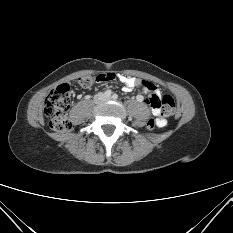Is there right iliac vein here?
Segmentation results:
<instances>
[{"mask_svg": "<svg viewBox=\"0 0 233 233\" xmlns=\"http://www.w3.org/2000/svg\"><path fill=\"white\" fill-rule=\"evenodd\" d=\"M102 99H103V95H102V94H98V95L95 97V102H100Z\"/></svg>", "mask_w": 233, "mask_h": 233, "instance_id": "obj_1", "label": "right iliac vein"}]
</instances>
